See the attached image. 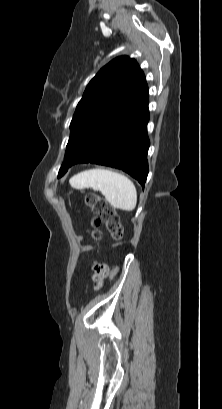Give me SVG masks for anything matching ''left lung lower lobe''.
I'll return each instance as SVG.
<instances>
[{"instance_id":"1","label":"left lung lower lobe","mask_w":222,"mask_h":409,"mask_svg":"<svg viewBox=\"0 0 222 409\" xmlns=\"http://www.w3.org/2000/svg\"><path fill=\"white\" fill-rule=\"evenodd\" d=\"M148 102L128 101L117 117L101 129L84 151L72 161L95 163L121 169L137 179L144 187L147 174L149 139Z\"/></svg>"}]
</instances>
